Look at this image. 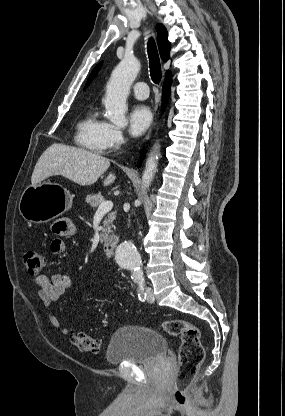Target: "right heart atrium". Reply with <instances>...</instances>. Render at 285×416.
Returning a JSON list of instances; mask_svg holds the SVG:
<instances>
[{
	"label": "right heart atrium",
	"instance_id": "obj_1",
	"mask_svg": "<svg viewBox=\"0 0 285 416\" xmlns=\"http://www.w3.org/2000/svg\"><path fill=\"white\" fill-rule=\"evenodd\" d=\"M125 141L122 129L114 124H108L103 139V149L114 150L120 147Z\"/></svg>",
	"mask_w": 285,
	"mask_h": 416
}]
</instances>
